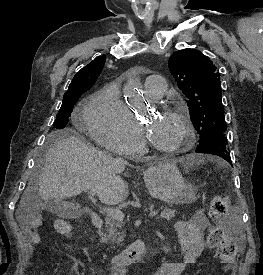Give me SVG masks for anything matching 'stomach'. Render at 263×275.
Masks as SVG:
<instances>
[{"instance_id": "0dacf381", "label": "stomach", "mask_w": 263, "mask_h": 275, "mask_svg": "<svg viewBox=\"0 0 263 275\" xmlns=\"http://www.w3.org/2000/svg\"><path fill=\"white\" fill-rule=\"evenodd\" d=\"M144 181L150 194L159 200L175 204L195 200V190L189 187L174 162L150 166L144 172Z\"/></svg>"}]
</instances>
